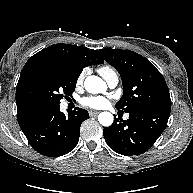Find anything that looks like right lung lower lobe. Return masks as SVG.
I'll return each instance as SVG.
<instances>
[{
	"label": "right lung lower lobe",
	"mask_w": 193,
	"mask_h": 193,
	"mask_svg": "<svg viewBox=\"0 0 193 193\" xmlns=\"http://www.w3.org/2000/svg\"><path fill=\"white\" fill-rule=\"evenodd\" d=\"M88 118V112L81 108H75L66 116L58 105L39 112L20 128L38 153L58 157L75 148L81 123Z\"/></svg>",
	"instance_id": "1"
}]
</instances>
